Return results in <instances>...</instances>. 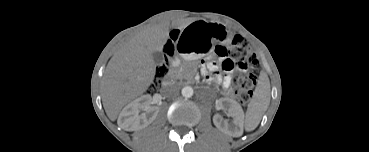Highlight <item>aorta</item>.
<instances>
[{"instance_id":"1","label":"aorta","mask_w":369,"mask_h":152,"mask_svg":"<svg viewBox=\"0 0 369 152\" xmlns=\"http://www.w3.org/2000/svg\"><path fill=\"white\" fill-rule=\"evenodd\" d=\"M182 95L184 97H191L193 95V89L189 86L182 89Z\"/></svg>"}]
</instances>
